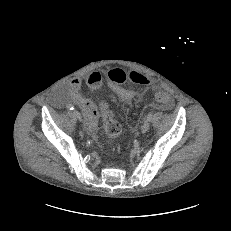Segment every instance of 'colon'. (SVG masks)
Segmentation results:
<instances>
[{
	"label": "colon",
	"instance_id": "1",
	"mask_svg": "<svg viewBox=\"0 0 231 231\" xmlns=\"http://www.w3.org/2000/svg\"><path fill=\"white\" fill-rule=\"evenodd\" d=\"M108 79L113 85H121L126 80H130L137 84H146L147 79L144 75L130 71L126 72L121 68H113L108 72ZM155 98L160 103H167L169 101L168 95L164 92H157ZM102 120L105 133L112 139H117L121 133V126L115 119L113 112L110 110L107 103H102Z\"/></svg>",
	"mask_w": 231,
	"mask_h": 231
}]
</instances>
